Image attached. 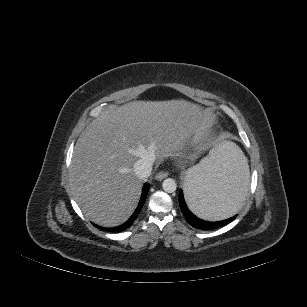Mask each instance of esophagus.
I'll return each mask as SVG.
<instances>
[{"label": "esophagus", "instance_id": "esophagus-1", "mask_svg": "<svg viewBox=\"0 0 307 307\" xmlns=\"http://www.w3.org/2000/svg\"><path fill=\"white\" fill-rule=\"evenodd\" d=\"M168 175H169L168 172L161 171V172L157 173V175L155 176V179L161 181V180L165 179L166 177H168Z\"/></svg>", "mask_w": 307, "mask_h": 307}]
</instances>
